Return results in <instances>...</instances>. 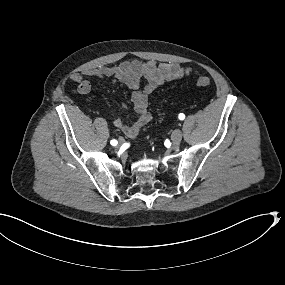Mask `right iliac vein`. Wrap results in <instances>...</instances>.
<instances>
[{"label":"right iliac vein","mask_w":285,"mask_h":285,"mask_svg":"<svg viewBox=\"0 0 285 285\" xmlns=\"http://www.w3.org/2000/svg\"><path fill=\"white\" fill-rule=\"evenodd\" d=\"M124 143V139L123 138H120L119 139V142H118V146L122 145Z\"/></svg>","instance_id":"obj_1"}]
</instances>
